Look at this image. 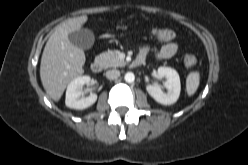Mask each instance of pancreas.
I'll use <instances>...</instances> for the list:
<instances>
[{
  "label": "pancreas",
  "mask_w": 248,
  "mask_h": 165,
  "mask_svg": "<svg viewBox=\"0 0 248 165\" xmlns=\"http://www.w3.org/2000/svg\"><path fill=\"white\" fill-rule=\"evenodd\" d=\"M105 68L108 67H123L126 62L119 57L117 51H107L99 55Z\"/></svg>",
  "instance_id": "obj_1"
}]
</instances>
